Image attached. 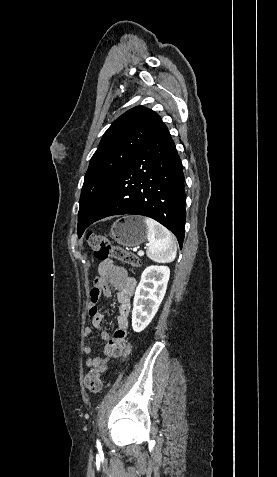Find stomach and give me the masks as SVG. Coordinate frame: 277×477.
<instances>
[{
    "mask_svg": "<svg viewBox=\"0 0 277 477\" xmlns=\"http://www.w3.org/2000/svg\"><path fill=\"white\" fill-rule=\"evenodd\" d=\"M147 225L141 216H126L115 221L110 230L112 239L119 245L132 248L147 238Z\"/></svg>",
    "mask_w": 277,
    "mask_h": 477,
    "instance_id": "1",
    "label": "stomach"
}]
</instances>
